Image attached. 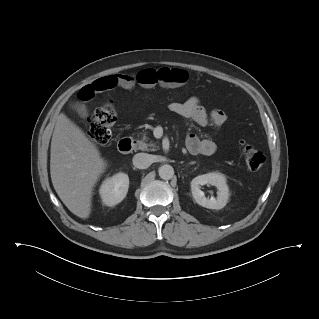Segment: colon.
I'll return each instance as SVG.
<instances>
[{"mask_svg":"<svg viewBox=\"0 0 319 319\" xmlns=\"http://www.w3.org/2000/svg\"><path fill=\"white\" fill-rule=\"evenodd\" d=\"M117 112L113 104L105 103L90 118L89 137L97 144H107L111 138V128L116 122ZM247 168L258 172L265 163L264 154L249 144L242 145Z\"/></svg>","mask_w":319,"mask_h":319,"instance_id":"5ec220e1","label":"colon"}]
</instances>
